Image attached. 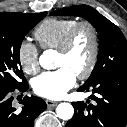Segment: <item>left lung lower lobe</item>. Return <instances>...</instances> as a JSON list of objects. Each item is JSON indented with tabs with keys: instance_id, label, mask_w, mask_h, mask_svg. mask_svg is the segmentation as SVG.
Masks as SVG:
<instances>
[{
	"instance_id": "obj_1",
	"label": "left lung lower lobe",
	"mask_w": 127,
	"mask_h": 127,
	"mask_svg": "<svg viewBox=\"0 0 127 127\" xmlns=\"http://www.w3.org/2000/svg\"><path fill=\"white\" fill-rule=\"evenodd\" d=\"M78 91H92L89 98L93 103L73 102L75 113L66 127H125L127 73L105 74L97 81L81 86Z\"/></svg>"
}]
</instances>
